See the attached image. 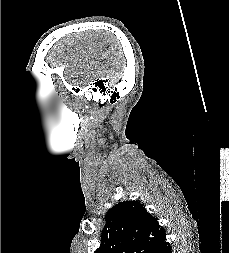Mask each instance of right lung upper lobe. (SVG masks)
Returning a JSON list of instances; mask_svg holds the SVG:
<instances>
[{
  "mask_svg": "<svg viewBox=\"0 0 229 253\" xmlns=\"http://www.w3.org/2000/svg\"><path fill=\"white\" fill-rule=\"evenodd\" d=\"M100 247L94 253H153L165 230L137 201L119 202L106 214Z\"/></svg>",
  "mask_w": 229,
  "mask_h": 253,
  "instance_id": "right-lung-upper-lobe-1",
  "label": "right lung upper lobe"
}]
</instances>
